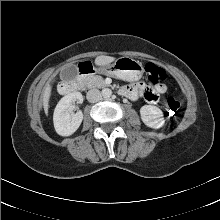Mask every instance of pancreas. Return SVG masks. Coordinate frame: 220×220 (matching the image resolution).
Listing matches in <instances>:
<instances>
[{
  "label": "pancreas",
  "instance_id": "pancreas-1",
  "mask_svg": "<svg viewBox=\"0 0 220 220\" xmlns=\"http://www.w3.org/2000/svg\"><path fill=\"white\" fill-rule=\"evenodd\" d=\"M82 83L87 88H104L106 87L105 80L102 76L99 75H91L87 76L82 80Z\"/></svg>",
  "mask_w": 220,
  "mask_h": 220
}]
</instances>
